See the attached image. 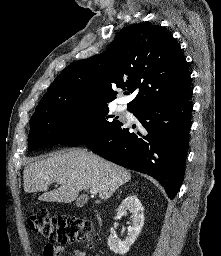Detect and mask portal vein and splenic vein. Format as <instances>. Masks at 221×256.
I'll return each instance as SVG.
<instances>
[{"mask_svg": "<svg viewBox=\"0 0 221 256\" xmlns=\"http://www.w3.org/2000/svg\"><path fill=\"white\" fill-rule=\"evenodd\" d=\"M90 192L92 195H96L98 193V191L96 189H91Z\"/></svg>", "mask_w": 221, "mask_h": 256, "instance_id": "1", "label": "portal vein and splenic vein"}]
</instances>
